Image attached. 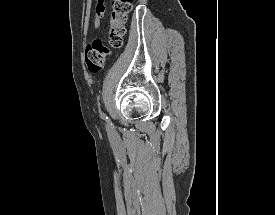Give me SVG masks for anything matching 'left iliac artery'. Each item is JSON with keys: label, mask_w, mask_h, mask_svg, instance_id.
Returning a JSON list of instances; mask_svg holds the SVG:
<instances>
[{"label": "left iliac artery", "mask_w": 275, "mask_h": 215, "mask_svg": "<svg viewBox=\"0 0 275 215\" xmlns=\"http://www.w3.org/2000/svg\"><path fill=\"white\" fill-rule=\"evenodd\" d=\"M100 118L105 120V121H108V117L107 115L100 109Z\"/></svg>", "instance_id": "44dca946"}]
</instances>
